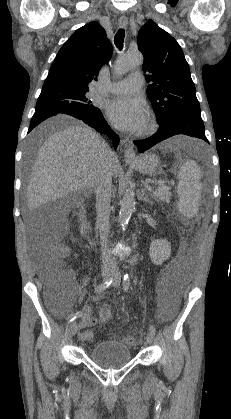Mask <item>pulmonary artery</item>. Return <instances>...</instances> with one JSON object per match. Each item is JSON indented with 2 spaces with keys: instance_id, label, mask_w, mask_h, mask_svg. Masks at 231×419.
Instances as JSON below:
<instances>
[{
  "instance_id": "1",
  "label": "pulmonary artery",
  "mask_w": 231,
  "mask_h": 419,
  "mask_svg": "<svg viewBox=\"0 0 231 419\" xmlns=\"http://www.w3.org/2000/svg\"><path fill=\"white\" fill-rule=\"evenodd\" d=\"M144 84V78L141 73H131L122 81L109 85L108 91L114 94H125L139 91Z\"/></svg>"
}]
</instances>
